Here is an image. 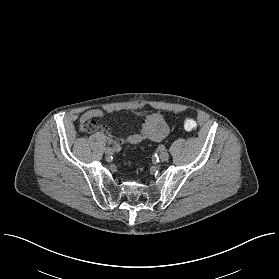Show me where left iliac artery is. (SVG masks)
<instances>
[{"label":"left iliac artery","instance_id":"left-iliac-artery-1","mask_svg":"<svg viewBox=\"0 0 279 279\" xmlns=\"http://www.w3.org/2000/svg\"><path fill=\"white\" fill-rule=\"evenodd\" d=\"M159 149H160V150H165L166 148H165L164 145H159Z\"/></svg>","mask_w":279,"mask_h":279}]
</instances>
